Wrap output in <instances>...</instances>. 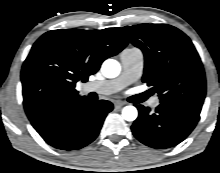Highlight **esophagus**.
Wrapping results in <instances>:
<instances>
[{
    "label": "esophagus",
    "mask_w": 220,
    "mask_h": 173,
    "mask_svg": "<svg viewBox=\"0 0 220 173\" xmlns=\"http://www.w3.org/2000/svg\"><path fill=\"white\" fill-rule=\"evenodd\" d=\"M126 103L120 100H117L114 102V106L116 109H120L122 106H124Z\"/></svg>",
    "instance_id": "esophagus-1"
}]
</instances>
